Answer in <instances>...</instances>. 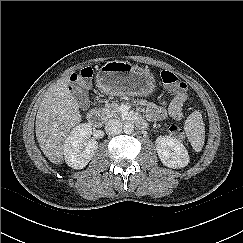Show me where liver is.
Wrapping results in <instances>:
<instances>
[{"label": "liver", "mask_w": 243, "mask_h": 243, "mask_svg": "<svg viewBox=\"0 0 243 243\" xmlns=\"http://www.w3.org/2000/svg\"><path fill=\"white\" fill-rule=\"evenodd\" d=\"M69 78L51 85L45 93L35 122V133L40 149L54 164L63 161L67 135L81 121L79 105L68 89Z\"/></svg>", "instance_id": "obj_1"}]
</instances>
